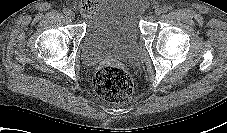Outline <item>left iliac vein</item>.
<instances>
[{
  "instance_id": "obj_1",
  "label": "left iliac vein",
  "mask_w": 227,
  "mask_h": 133,
  "mask_svg": "<svg viewBox=\"0 0 227 133\" xmlns=\"http://www.w3.org/2000/svg\"><path fill=\"white\" fill-rule=\"evenodd\" d=\"M162 13H163V9H162V8H156V9H155V14H156V15L159 16V15H161Z\"/></svg>"
}]
</instances>
